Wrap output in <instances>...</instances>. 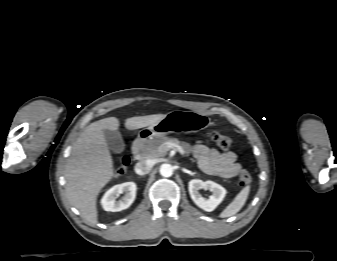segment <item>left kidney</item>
I'll list each match as a JSON object with an SVG mask.
<instances>
[{"instance_id":"1","label":"left kidney","mask_w":337,"mask_h":261,"mask_svg":"<svg viewBox=\"0 0 337 261\" xmlns=\"http://www.w3.org/2000/svg\"><path fill=\"white\" fill-rule=\"evenodd\" d=\"M188 186L190 196L194 203L207 212L213 211L226 195L225 188L210 180L204 182L200 179H193L189 181ZM200 189L210 190L212 192L209 199H205L200 195Z\"/></svg>"}]
</instances>
